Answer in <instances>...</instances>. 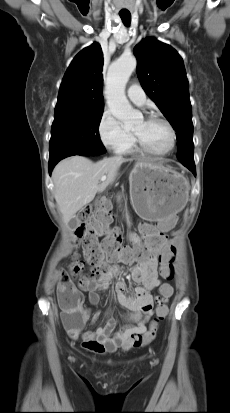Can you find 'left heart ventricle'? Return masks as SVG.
I'll return each instance as SVG.
<instances>
[{
  "label": "left heart ventricle",
  "instance_id": "obj_1",
  "mask_svg": "<svg viewBox=\"0 0 230 413\" xmlns=\"http://www.w3.org/2000/svg\"><path fill=\"white\" fill-rule=\"evenodd\" d=\"M136 133L149 147L156 150L165 149L170 141L167 127L158 120H140L133 128Z\"/></svg>",
  "mask_w": 230,
  "mask_h": 413
}]
</instances>
